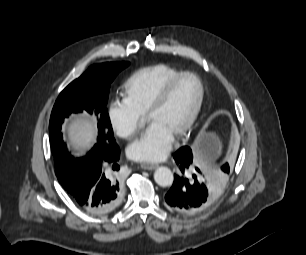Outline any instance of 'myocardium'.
I'll return each instance as SVG.
<instances>
[{
  "instance_id": "myocardium-1",
  "label": "myocardium",
  "mask_w": 306,
  "mask_h": 255,
  "mask_svg": "<svg viewBox=\"0 0 306 255\" xmlns=\"http://www.w3.org/2000/svg\"><path fill=\"white\" fill-rule=\"evenodd\" d=\"M185 77H193L198 82L200 92H199L197 103L192 113L190 114L186 122L176 131L175 133L176 137H180L184 135L194 125V123L196 122L201 112V109L204 103L205 87H204L202 79L196 73L191 72V71H183L179 73L178 75L174 76L172 79H170L166 83V85L160 90V92L156 95V97L153 99V101L151 102L150 106L148 107L146 111L147 117H149L154 112H156L165 103V101L171 94L176 84Z\"/></svg>"
}]
</instances>
